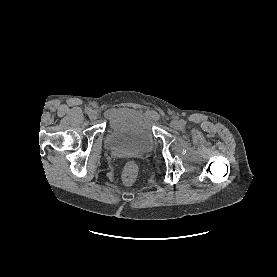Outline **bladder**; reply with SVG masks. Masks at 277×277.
Returning a JSON list of instances; mask_svg holds the SVG:
<instances>
[{
    "label": "bladder",
    "mask_w": 277,
    "mask_h": 277,
    "mask_svg": "<svg viewBox=\"0 0 277 277\" xmlns=\"http://www.w3.org/2000/svg\"><path fill=\"white\" fill-rule=\"evenodd\" d=\"M154 120L150 113L117 108L107 115L106 147L115 153H147L155 144Z\"/></svg>",
    "instance_id": "bladder-1"
}]
</instances>
